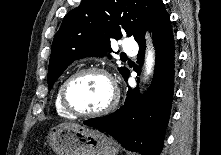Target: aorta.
<instances>
[{"label": "aorta", "mask_w": 221, "mask_h": 155, "mask_svg": "<svg viewBox=\"0 0 221 155\" xmlns=\"http://www.w3.org/2000/svg\"><path fill=\"white\" fill-rule=\"evenodd\" d=\"M153 47L148 48L146 58H145V74L149 75L154 68V62H155V55H154Z\"/></svg>", "instance_id": "aorta-1"}]
</instances>
